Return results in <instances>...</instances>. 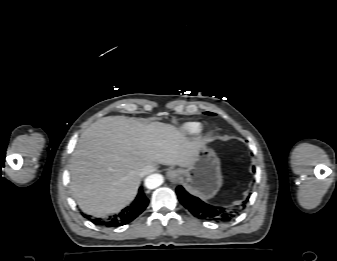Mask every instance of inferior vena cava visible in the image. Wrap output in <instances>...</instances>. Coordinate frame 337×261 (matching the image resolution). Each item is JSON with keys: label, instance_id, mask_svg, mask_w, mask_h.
Masks as SVG:
<instances>
[{"label": "inferior vena cava", "instance_id": "inferior-vena-cava-1", "mask_svg": "<svg viewBox=\"0 0 337 261\" xmlns=\"http://www.w3.org/2000/svg\"><path fill=\"white\" fill-rule=\"evenodd\" d=\"M154 171V168L152 166H146L142 172L140 173L141 176H144L150 172H153Z\"/></svg>", "mask_w": 337, "mask_h": 261}]
</instances>
